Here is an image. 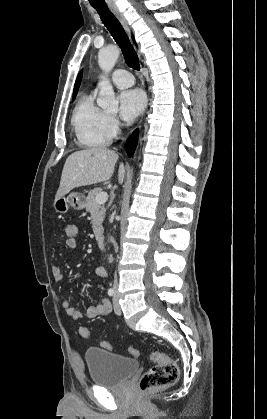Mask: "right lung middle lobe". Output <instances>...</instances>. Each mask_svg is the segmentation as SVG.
Returning a JSON list of instances; mask_svg holds the SVG:
<instances>
[{"label":"right lung middle lobe","instance_id":"dd1d6c3e","mask_svg":"<svg viewBox=\"0 0 267 419\" xmlns=\"http://www.w3.org/2000/svg\"><path fill=\"white\" fill-rule=\"evenodd\" d=\"M75 96H76V95H73V100H74Z\"/></svg>","mask_w":267,"mask_h":419}]
</instances>
